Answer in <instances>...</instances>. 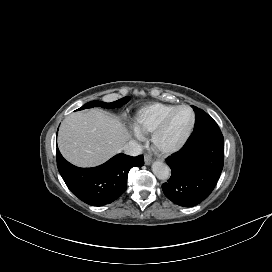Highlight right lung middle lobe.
I'll return each mask as SVG.
<instances>
[{"label":"right lung middle lobe","instance_id":"dd1d6c3e","mask_svg":"<svg viewBox=\"0 0 272 272\" xmlns=\"http://www.w3.org/2000/svg\"><path fill=\"white\" fill-rule=\"evenodd\" d=\"M129 99H130V97H124V98H121V99L111 102V103H106V102H102V101H91V102L86 103L85 105H83L81 108H79L77 110H83L86 108H93V107H102V108H107V109L116 108V107H120L121 105H123L124 103L129 101Z\"/></svg>","mask_w":272,"mask_h":272}]
</instances>
